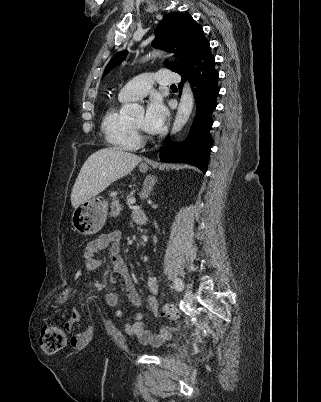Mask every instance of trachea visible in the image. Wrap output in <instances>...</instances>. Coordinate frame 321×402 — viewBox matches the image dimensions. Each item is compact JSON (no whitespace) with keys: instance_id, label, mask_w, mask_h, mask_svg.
Here are the masks:
<instances>
[{"instance_id":"1","label":"trachea","mask_w":321,"mask_h":402,"mask_svg":"<svg viewBox=\"0 0 321 402\" xmlns=\"http://www.w3.org/2000/svg\"><path fill=\"white\" fill-rule=\"evenodd\" d=\"M171 86L173 87V86H176V85H175V84H173V85H171Z\"/></svg>"}]
</instances>
